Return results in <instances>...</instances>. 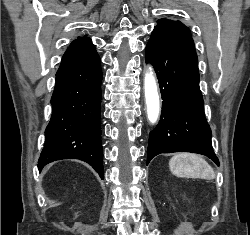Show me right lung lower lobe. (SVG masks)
<instances>
[{
    "label": "right lung lower lobe",
    "mask_w": 250,
    "mask_h": 235,
    "mask_svg": "<svg viewBox=\"0 0 250 235\" xmlns=\"http://www.w3.org/2000/svg\"><path fill=\"white\" fill-rule=\"evenodd\" d=\"M100 63L91 40L69 46L63 55L56 73L53 111L38 160L39 170L56 160L80 159L103 179Z\"/></svg>",
    "instance_id": "98d812e1"
}]
</instances>
